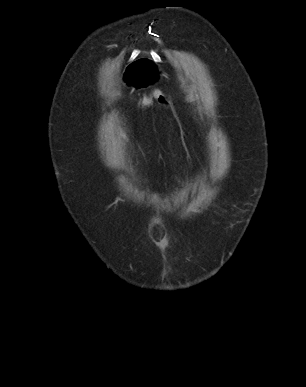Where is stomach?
Returning <instances> with one entry per match:
<instances>
[{
  "instance_id": "obj_1",
  "label": "stomach",
  "mask_w": 306,
  "mask_h": 387,
  "mask_svg": "<svg viewBox=\"0 0 306 387\" xmlns=\"http://www.w3.org/2000/svg\"><path fill=\"white\" fill-rule=\"evenodd\" d=\"M161 59H138L131 66H123L128 91H146L150 82H164Z\"/></svg>"
}]
</instances>
